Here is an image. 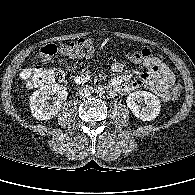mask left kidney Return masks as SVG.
Here are the masks:
<instances>
[{
    "instance_id": "obj_1",
    "label": "left kidney",
    "mask_w": 195,
    "mask_h": 195,
    "mask_svg": "<svg viewBox=\"0 0 195 195\" xmlns=\"http://www.w3.org/2000/svg\"><path fill=\"white\" fill-rule=\"evenodd\" d=\"M127 106L132 113L142 121L154 120L160 113V100L154 94L147 91H135L126 99ZM141 108L140 104H143Z\"/></svg>"
}]
</instances>
